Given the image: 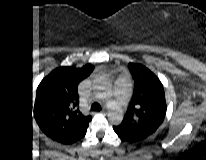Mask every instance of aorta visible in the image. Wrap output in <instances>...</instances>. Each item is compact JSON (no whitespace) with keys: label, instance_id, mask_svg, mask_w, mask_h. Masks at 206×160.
Wrapping results in <instances>:
<instances>
[{"label":"aorta","instance_id":"762f6f07","mask_svg":"<svg viewBox=\"0 0 206 160\" xmlns=\"http://www.w3.org/2000/svg\"><path fill=\"white\" fill-rule=\"evenodd\" d=\"M108 118L113 124H119L123 119V110L118 98L110 100L108 103Z\"/></svg>","mask_w":206,"mask_h":160}]
</instances>
